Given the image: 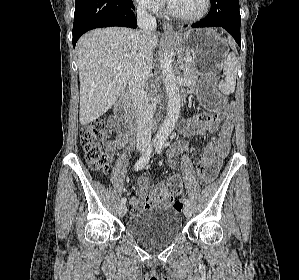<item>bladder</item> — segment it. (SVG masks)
<instances>
[{"label":"bladder","instance_id":"1","mask_svg":"<svg viewBox=\"0 0 299 280\" xmlns=\"http://www.w3.org/2000/svg\"><path fill=\"white\" fill-rule=\"evenodd\" d=\"M126 228L141 245L151 249L161 248L181 233L182 217L172 207L155 206L130 218Z\"/></svg>","mask_w":299,"mask_h":280}]
</instances>
